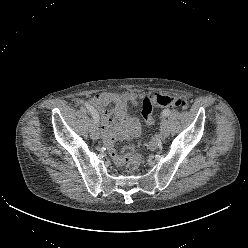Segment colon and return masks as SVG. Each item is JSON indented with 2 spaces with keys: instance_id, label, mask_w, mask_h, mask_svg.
<instances>
[{
  "instance_id": "obj_1",
  "label": "colon",
  "mask_w": 248,
  "mask_h": 248,
  "mask_svg": "<svg viewBox=\"0 0 248 248\" xmlns=\"http://www.w3.org/2000/svg\"><path fill=\"white\" fill-rule=\"evenodd\" d=\"M154 106L186 109L187 102L183 98L166 95H154L145 97L142 103L141 114L147 124H152L154 122ZM140 162L141 156L139 154L128 157L126 159V172L130 174L134 173L138 169Z\"/></svg>"
}]
</instances>
